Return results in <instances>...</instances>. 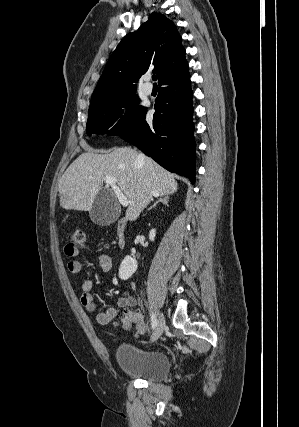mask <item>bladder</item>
<instances>
[{
  "mask_svg": "<svg viewBox=\"0 0 299 427\" xmlns=\"http://www.w3.org/2000/svg\"><path fill=\"white\" fill-rule=\"evenodd\" d=\"M116 357L122 372L146 381H160L170 372V360L166 354L143 351L130 343H121Z\"/></svg>",
  "mask_w": 299,
  "mask_h": 427,
  "instance_id": "31cf9c89",
  "label": "bladder"
}]
</instances>
